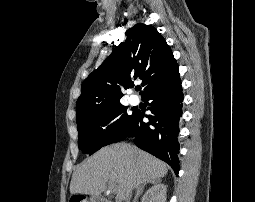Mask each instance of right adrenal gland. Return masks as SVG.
<instances>
[{"label":"right adrenal gland","mask_w":255,"mask_h":202,"mask_svg":"<svg viewBox=\"0 0 255 202\" xmlns=\"http://www.w3.org/2000/svg\"><path fill=\"white\" fill-rule=\"evenodd\" d=\"M159 182H161V179H156V180L150 181V182H148V183L155 185V184H157V183H159ZM146 185H147V184H144L143 187H142L140 190L137 191L133 202H136L137 199L139 198V196L142 195V193H143V188H144V186H146Z\"/></svg>","instance_id":"2a0ac1e0"}]
</instances>
